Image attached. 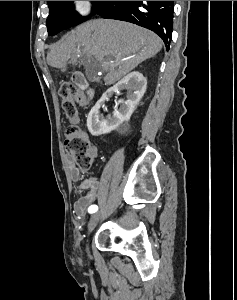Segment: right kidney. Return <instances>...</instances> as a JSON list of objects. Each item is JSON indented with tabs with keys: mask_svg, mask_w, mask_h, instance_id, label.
<instances>
[{
	"mask_svg": "<svg viewBox=\"0 0 237 300\" xmlns=\"http://www.w3.org/2000/svg\"><path fill=\"white\" fill-rule=\"evenodd\" d=\"M146 87L147 81L142 73L133 71V73H129L124 79L118 81L117 85H114L111 89H107L106 93H103L101 99L92 107L87 117L89 133L94 135V137L106 135V133H111V131L117 129L124 121H128L132 113H134L135 107L139 105V101L142 99ZM120 91H128V93H126L125 99H120V101L116 103L117 109H115L113 115H109L108 119H105L99 109L103 107L105 101H109V97H112L114 93L122 95Z\"/></svg>",
	"mask_w": 237,
	"mask_h": 300,
	"instance_id": "obj_1",
	"label": "right kidney"
}]
</instances>
